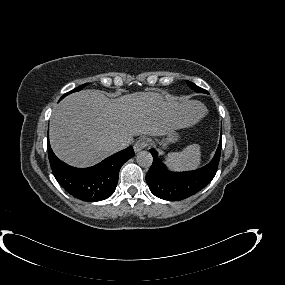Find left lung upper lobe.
<instances>
[{"mask_svg": "<svg viewBox=\"0 0 285 285\" xmlns=\"http://www.w3.org/2000/svg\"><path fill=\"white\" fill-rule=\"evenodd\" d=\"M188 86L195 90L197 93H206V94H209L205 89L199 87V86H196L194 83L190 82V81H186Z\"/></svg>", "mask_w": 285, "mask_h": 285, "instance_id": "obj_1", "label": "left lung upper lobe"}]
</instances>
